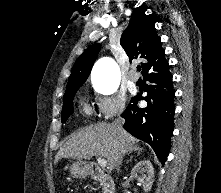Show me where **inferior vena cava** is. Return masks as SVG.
<instances>
[{"label":"inferior vena cava","mask_w":221,"mask_h":193,"mask_svg":"<svg viewBox=\"0 0 221 193\" xmlns=\"http://www.w3.org/2000/svg\"><path fill=\"white\" fill-rule=\"evenodd\" d=\"M113 124H114V126L117 130H121L122 125L124 124V120L116 119ZM123 155L124 154L122 152H118L117 155H116L115 168H116L117 172L120 171V166H121L122 161H123Z\"/></svg>","instance_id":"1"}]
</instances>
